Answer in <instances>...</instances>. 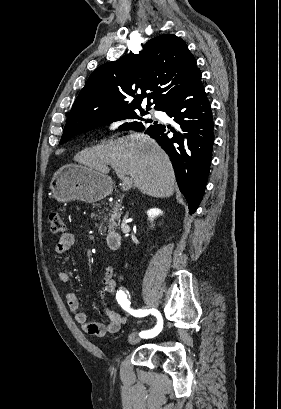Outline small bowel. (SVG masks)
<instances>
[{"label": "small bowel", "instance_id": "1", "mask_svg": "<svg viewBox=\"0 0 281 409\" xmlns=\"http://www.w3.org/2000/svg\"><path fill=\"white\" fill-rule=\"evenodd\" d=\"M74 243V235L71 232L63 233L54 248V252L57 256L64 254L66 251L70 249V247ZM114 267L107 266L104 270L103 278H102V287L99 290V297L105 303L106 297L108 295H112L113 297L116 296L118 291L119 283L114 278ZM72 278V273L61 270L58 272V280L66 284ZM65 301L74 315L75 321L80 325L83 332L101 337L105 334H115L119 332L121 326L125 323V318L121 316L119 313L111 310L106 309V315L109 318V322L104 325L97 322H90L88 321L87 315L80 310V303L77 296L73 293H67L65 296Z\"/></svg>", "mask_w": 281, "mask_h": 409}]
</instances>
